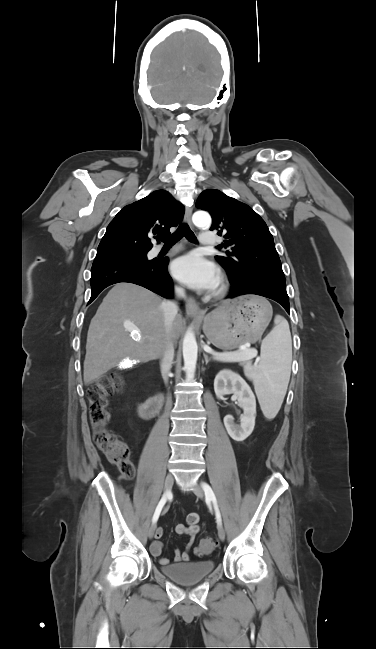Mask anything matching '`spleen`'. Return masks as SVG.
<instances>
[{
	"instance_id": "spleen-1",
	"label": "spleen",
	"mask_w": 376,
	"mask_h": 649,
	"mask_svg": "<svg viewBox=\"0 0 376 649\" xmlns=\"http://www.w3.org/2000/svg\"><path fill=\"white\" fill-rule=\"evenodd\" d=\"M275 327L261 345V361L252 370H244L253 381L266 418H274L284 400L291 373L292 340L287 320L277 315Z\"/></svg>"
}]
</instances>
